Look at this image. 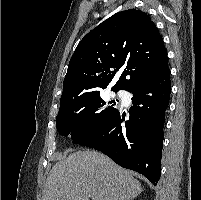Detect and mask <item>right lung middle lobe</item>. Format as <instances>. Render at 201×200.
<instances>
[{"label":"right lung middle lobe","mask_w":201,"mask_h":200,"mask_svg":"<svg viewBox=\"0 0 201 200\" xmlns=\"http://www.w3.org/2000/svg\"><path fill=\"white\" fill-rule=\"evenodd\" d=\"M117 111L107 107L100 92L87 94L60 102L56 127L61 135H71L72 140H76L99 129Z\"/></svg>","instance_id":"obj_1"}]
</instances>
